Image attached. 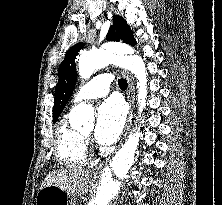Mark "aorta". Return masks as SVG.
Returning a JSON list of instances; mask_svg holds the SVG:
<instances>
[{"instance_id": "1", "label": "aorta", "mask_w": 222, "mask_h": 205, "mask_svg": "<svg viewBox=\"0 0 222 205\" xmlns=\"http://www.w3.org/2000/svg\"><path fill=\"white\" fill-rule=\"evenodd\" d=\"M109 64H118L136 75L139 82L138 97L140 111L149 97L147 89V72L143 61L134 55V50L123 44H107L104 48L82 52L79 58V73L82 79H88L97 70ZM69 121L73 128L92 129L94 126V109L91 105L81 103L75 106ZM142 136L139 128L130 134L122 148L110 164L103 170L99 184L94 192L95 205H108L121 192L126 178L133 168L141 151Z\"/></svg>"}]
</instances>
